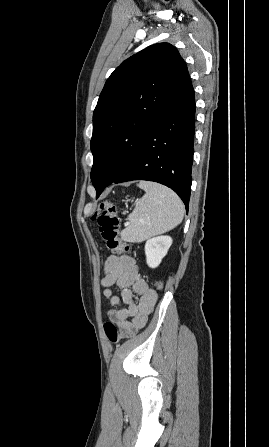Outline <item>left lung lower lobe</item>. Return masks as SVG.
Wrapping results in <instances>:
<instances>
[{
  "instance_id": "0a47b994",
  "label": "left lung lower lobe",
  "mask_w": 269,
  "mask_h": 447,
  "mask_svg": "<svg viewBox=\"0 0 269 447\" xmlns=\"http://www.w3.org/2000/svg\"><path fill=\"white\" fill-rule=\"evenodd\" d=\"M194 132L195 97L185 64L162 115L145 134L127 167L112 183L132 180L161 183L173 189L188 210ZM105 187L96 190L97 197Z\"/></svg>"
}]
</instances>
